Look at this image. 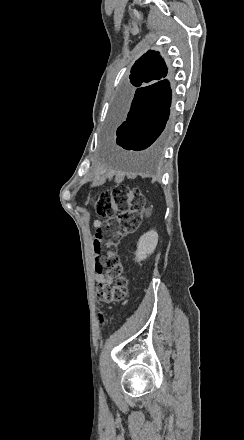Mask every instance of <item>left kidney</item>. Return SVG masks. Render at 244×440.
Here are the masks:
<instances>
[{
	"instance_id": "5707ae66",
	"label": "left kidney",
	"mask_w": 244,
	"mask_h": 440,
	"mask_svg": "<svg viewBox=\"0 0 244 440\" xmlns=\"http://www.w3.org/2000/svg\"><path fill=\"white\" fill-rule=\"evenodd\" d=\"M157 244L158 234L157 232H155V230H151V232H146V234H143L137 244L135 260H137V262H141V260H147L148 256H150V254H153Z\"/></svg>"
}]
</instances>
